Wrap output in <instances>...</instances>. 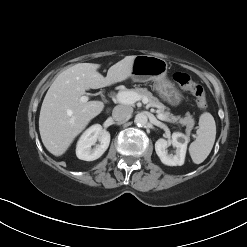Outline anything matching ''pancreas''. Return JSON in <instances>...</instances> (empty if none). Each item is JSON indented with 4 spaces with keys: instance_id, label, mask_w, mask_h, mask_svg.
I'll return each instance as SVG.
<instances>
[{
    "instance_id": "1",
    "label": "pancreas",
    "mask_w": 247,
    "mask_h": 247,
    "mask_svg": "<svg viewBox=\"0 0 247 247\" xmlns=\"http://www.w3.org/2000/svg\"><path fill=\"white\" fill-rule=\"evenodd\" d=\"M126 91H131L141 97H146L148 99V107L157 108L158 113L164 115L166 118L174 122L179 121L180 124L186 126L187 134H190L195 121L189 113H186V116L184 118L173 116L169 111L166 110V107L156 97H154L150 91L147 90V88L137 87L135 89H127Z\"/></svg>"
}]
</instances>
